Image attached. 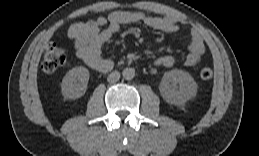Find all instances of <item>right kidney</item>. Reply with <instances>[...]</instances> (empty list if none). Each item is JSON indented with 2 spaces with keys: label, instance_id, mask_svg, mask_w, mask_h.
Here are the masks:
<instances>
[{
  "label": "right kidney",
  "instance_id": "1",
  "mask_svg": "<svg viewBox=\"0 0 259 156\" xmlns=\"http://www.w3.org/2000/svg\"><path fill=\"white\" fill-rule=\"evenodd\" d=\"M89 71L85 67H75L67 72L62 80L61 91L67 99L82 97L87 91Z\"/></svg>",
  "mask_w": 259,
  "mask_h": 156
}]
</instances>
